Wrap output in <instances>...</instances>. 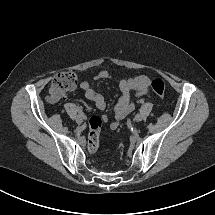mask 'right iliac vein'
<instances>
[{
    "instance_id": "right-iliac-vein-1",
    "label": "right iliac vein",
    "mask_w": 215,
    "mask_h": 215,
    "mask_svg": "<svg viewBox=\"0 0 215 215\" xmlns=\"http://www.w3.org/2000/svg\"><path fill=\"white\" fill-rule=\"evenodd\" d=\"M75 121H76L77 124H82L83 123V118L78 115L76 117Z\"/></svg>"
}]
</instances>
